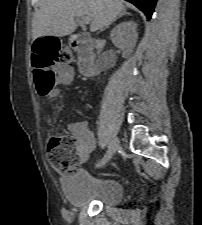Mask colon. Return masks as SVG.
I'll list each match as a JSON object with an SVG mask.
<instances>
[{
	"label": "colon",
	"instance_id": "5ec220e1",
	"mask_svg": "<svg viewBox=\"0 0 202 225\" xmlns=\"http://www.w3.org/2000/svg\"><path fill=\"white\" fill-rule=\"evenodd\" d=\"M31 52L37 93L41 97L52 99L57 95L54 80L59 76H65V72L61 70L54 72L52 67H63L68 64L70 53L59 47L56 38L36 41ZM47 157L51 167L63 175L73 173L80 166L77 143L66 135H58L50 140Z\"/></svg>",
	"mask_w": 202,
	"mask_h": 225
}]
</instances>
